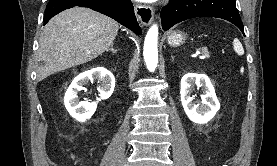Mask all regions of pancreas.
I'll return each mask as SVG.
<instances>
[{"label": "pancreas", "mask_w": 277, "mask_h": 166, "mask_svg": "<svg viewBox=\"0 0 277 166\" xmlns=\"http://www.w3.org/2000/svg\"><path fill=\"white\" fill-rule=\"evenodd\" d=\"M203 53H208V51L206 49H202Z\"/></svg>", "instance_id": "pancreas-1"}]
</instances>
